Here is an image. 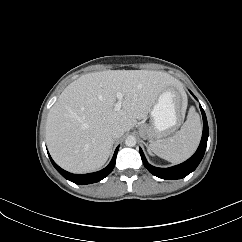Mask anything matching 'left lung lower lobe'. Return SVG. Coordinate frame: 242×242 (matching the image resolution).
<instances>
[{
    "label": "left lung lower lobe",
    "instance_id": "left-lung-lower-lobe-1",
    "mask_svg": "<svg viewBox=\"0 0 242 242\" xmlns=\"http://www.w3.org/2000/svg\"><path fill=\"white\" fill-rule=\"evenodd\" d=\"M200 109L203 117V134H202L200 145L197 151L194 153V155L191 158H189L187 161L179 165H176L170 168H157L150 165L147 162L143 154V151L140 148L139 151H140L143 164L149 170L150 173L162 179H181L186 177L188 174H190L192 171H194L197 168V166L199 165L200 161L204 156L206 146H207L208 134H209L207 118L201 105H200Z\"/></svg>",
    "mask_w": 242,
    "mask_h": 242
}]
</instances>
